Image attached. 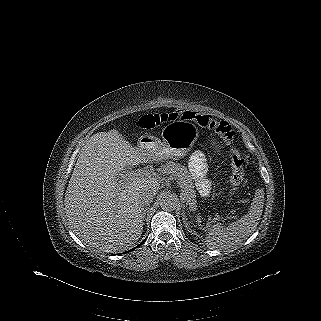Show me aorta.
Masks as SVG:
<instances>
[{
	"mask_svg": "<svg viewBox=\"0 0 321 321\" xmlns=\"http://www.w3.org/2000/svg\"><path fill=\"white\" fill-rule=\"evenodd\" d=\"M178 204L179 200L174 194H164L160 199V206L166 211L175 210Z\"/></svg>",
	"mask_w": 321,
	"mask_h": 321,
	"instance_id": "1",
	"label": "aorta"
}]
</instances>
